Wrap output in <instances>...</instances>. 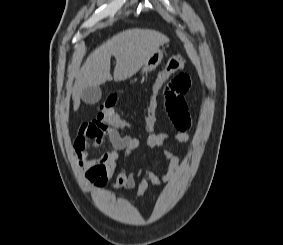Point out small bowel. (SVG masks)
I'll return each instance as SVG.
<instances>
[{"instance_id":"small-bowel-1","label":"small bowel","mask_w":283,"mask_h":245,"mask_svg":"<svg viewBox=\"0 0 283 245\" xmlns=\"http://www.w3.org/2000/svg\"><path fill=\"white\" fill-rule=\"evenodd\" d=\"M165 85V86H164ZM164 104L167 114L176 128L173 134L153 133L147 139L150 150H159L161 156L168 160L166 173L159 175L152 172L143 174L141 168L128 170L126 165L112 180L120 151L125 153V164L138 148L140 140L130 134L120 135L118 128L109 125L99 118L83 123L74 140L73 148L78 165L84 172L86 179L95 187L101 188L111 185L113 188H137V194L143 195L149 185L160 186L176 180L181 174V159L169 149L163 147L167 141L190 144L189 129L192 119L188 112L184 96L191 87V78L185 73H178L164 84ZM107 141L108 147L100 154L91 156L89 149Z\"/></svg>"}]
</instances>
